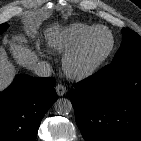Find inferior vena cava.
I'll list each match as a JSON object with an SVG mask.
<instances>
[{
    "instance_id": "inferior-vena-cava-1",
    "label": "inferior vena cava",
    "mask_w": 141,
    "mask_h": 141,
    "mask_svg": "<svg viewBox=\"0 0 141 141\" xmlns=\"http://www.w3.org/2000/svg\"><path fill=\"white\" fill-rule=\"evenodd\" d=\"M34 73L39 77H49L52 69L48 62L40 61L33 67Z\"/></svg>"
}]
</instances>
